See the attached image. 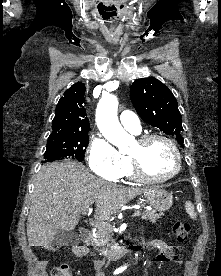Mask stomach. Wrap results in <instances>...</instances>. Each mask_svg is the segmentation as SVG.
Masks as SVG:
<instances>
[{
	"instance_id": "stomach-1",
	"label": "stomach",
	"mask_w": 221,
	"mask_h": 276,
	"mask_svg": "<svg viewBox=\"0 0 221 276\" xmlns=\"http://www.w3.org/2000/svg\"><path fill=\"white\" fill-rule=\"evenodd\" d=\"M146 202L156 211H166L172 206V195L159 188L150 189L144 193Z\"/></svg>"
}]
</instances>
